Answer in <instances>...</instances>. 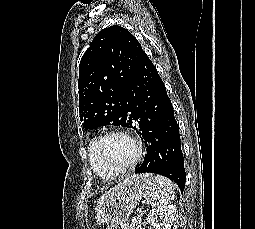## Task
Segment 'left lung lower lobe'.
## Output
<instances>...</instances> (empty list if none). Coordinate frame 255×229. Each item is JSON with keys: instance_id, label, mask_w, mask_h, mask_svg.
Returning <instances> with one entry per match:
<instances>
[{"instance_id": "obj_1", "label": "left lung lower lobe", "mask_w": 255, "mask_h": 229, "mask_svg": "<svg viewBox=\"0 0 255 229\" xmlns=\"http://www.w3.org/2000/svg\"><path fill=\"white\" fill-rule=\"evenodd\" d=\"M126 124L138 131L146 154L135 173H156L173 180L183 192L186 182L179 127L165 85L143 51L124 91Z\"/></svg>"}]
</instances>
